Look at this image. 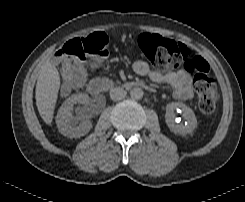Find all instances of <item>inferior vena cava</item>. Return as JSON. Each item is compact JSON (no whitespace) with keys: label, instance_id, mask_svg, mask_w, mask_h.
Returning <instances> with one entry per match:
<instances>
[{"label":"inferior vena cava","instance_id":"602c4592","mask_svg":"<svg viewBox=\"0 0 245 202\" xmlns=\"http://www.w3.org/2000/svg\"><path fill=\"white\" fill-rule=\"evenodd\" d=\"M126 94V91L121 87L112 88L110 90V98L115 101L125 98Z\"/></svg>","mask_w":245,"mask_h":202}]
</instances>
